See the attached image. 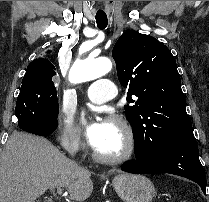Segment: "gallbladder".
<instances>
[{"label":"gallbladder","mask_w":209,"mask_h":202,"mask_svg":"<svg viewBox=\"0 0 209 202\" xmlns=\"http://www.w3.org/2000/svg\"><path fill=\"white\" fill-rule=\"evenodd\" d=\"M44 202H52V200L50 198H48Z\"/></svg>","instance_id":"1"}]
</instances>
